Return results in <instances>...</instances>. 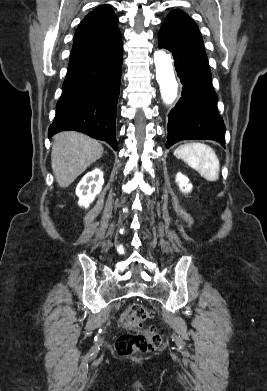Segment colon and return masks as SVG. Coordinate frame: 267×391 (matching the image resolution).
<instances>
[{
    "instance_id": "5ec220e1",
    "label": "colon",
    "mask_w": 267,
    "mask_h": 391,
    "mask_svg": "<svg viewBox=\"0 0 267 391\" xmlns=\"http://www.w3.org/2000/svg\"><path fill=\"white\" fill-rule=\"evenodd\" d=\"M153 312L139 304L128 306L120 315V324L125 330L115 342V352L119 356H128L136 352H152L161 344L160 335L152 328H142Z\"/></svg>"
}]
</instances>
